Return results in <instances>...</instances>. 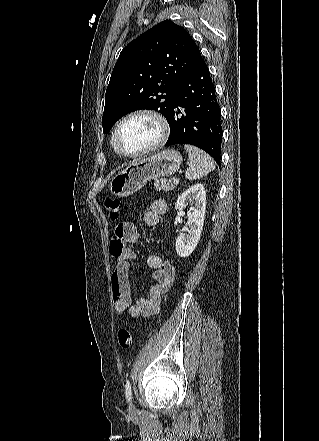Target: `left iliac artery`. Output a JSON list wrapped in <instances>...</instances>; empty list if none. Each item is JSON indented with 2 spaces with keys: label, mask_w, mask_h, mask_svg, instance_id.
I'll return each mask as SVG.
<instances>
[{
  "label": "left iliac artery",
  "mask_w": 319,
  "mask_h": 441,
  "mask_svg": "<svg viewBox=\"0 0 319 441\" xmlns=\"http://www.w3.org/2000/svg\"><path fill=\"white\" fill-rule=\"evenodd\" d=\"M125 395H126L127 401L130 402L131 401L132 390H131V384H130L129 380L126 381Z\"/></svg>",
  "instance_id": "1"
}]
</instances>
